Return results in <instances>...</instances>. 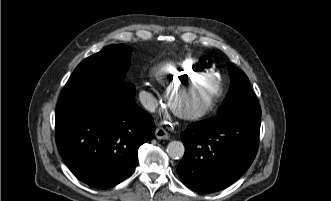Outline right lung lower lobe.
I'll use <instances>...</instances> for the list:
<instances>
[{
  "label": "right lung lower lobe",
  "instance_id": "right-lung-lower-lobe-1",
  "mask_svg": "<svg viewBox=\"0 0 331 201\" xmlns=\"http://www.w3.org/2000/svg\"><path fill=\"white\" fill-rule=\"evenodd\" d=\"M56 143L73 174L107 189L133 171L138 148L151 139L153 119L135 103V86L99 87L58 104Z\"/></svg>",
  "mask_w": 331,
  "mask_h": 201
}]
</instances>
